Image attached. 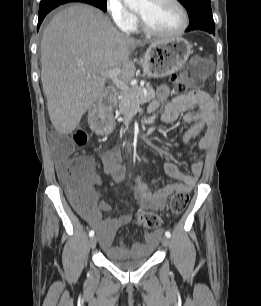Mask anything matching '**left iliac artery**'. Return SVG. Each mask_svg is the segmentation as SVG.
<instances>
[{
  "instance_id": "44dca946",
  "label": "left iliac artery",
  "mask_w": 261,
  "mask_h": 306,
  "mask_svg": "<svg viewBox=\"0 0 261 306\" xmlns=\"http://www.w3.org/2000/svg\"><path fill=\"white\" fill-rule=\"evenodd\" d=\"M165 236L168 237V238H170V237H171L170 232H169V231H166V232H165Z\"/></svg>"
}]
</instances>
